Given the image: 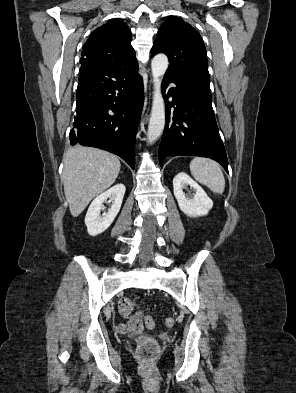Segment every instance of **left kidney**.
<instances>
[{"instance_id": "1", "label": "left kidney", "mask_w": 296, "mask_h": 393, "mask_svg": "<svg viewBox=\"0 0 296 393\" xmlns=\"http://www.w3.org/2000/svg\"><path fill=\"white\" fill-rule=\"evenodd\" d=\"M194 189L193 197H186L183 189L187 186ZM174 195L180 210L189 217L205 216L213 207L212 200L205 191L185 172L178 173L173 179Z\"/></svg>"}]
</instances>
